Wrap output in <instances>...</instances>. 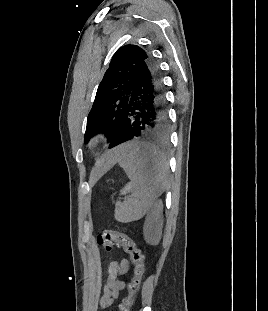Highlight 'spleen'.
<instances>
[{
  "instance_id": "3e777b00",
  "label": "spleen",
  "mask_w": 268,
  "mask_h": 311,
  "mask_svg": "<svg viewBox=\"0 0 268 311\" xmlns=\"http://www.w3.org/2000/svg\"><path fill=\"white\" fill-rule=\"evenodd\" d=\"M115 159L130 182L120 190L131 192L127 200L115 203V219L127 223L142 218L168 186L169 164L147 140H124L116 144Z\"/></svg>"
}]
</instances>
